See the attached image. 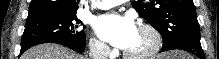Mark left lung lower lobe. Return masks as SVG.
<instances>
[{
    "label": "left lung lower lobe",
    "instance_id": "0a47b994",
    "mask_svg": "<svg viewBox=\"0 0 219 59\" xmlns=\"http://www.w3.org/2000/svg\"><path fill=\"white\" fill-rule=\"evenodd\" d=\"M178 49L188 51L200 59H205L203 49L200 44V35H185L172 41L166 46H162L161 52Z\"/></svg>",
    "mask_w": 219,
    "mask_h": 59
}]
</instances>
